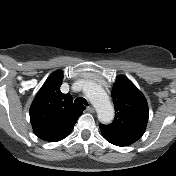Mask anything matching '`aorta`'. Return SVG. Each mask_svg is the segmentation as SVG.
<instances>
[{
    "instance_id": "762f6f07",
    "label": "aorta",
    "mask_w": 176,
    "mask_h": 176,
    "mask_svg": "<svg viewBox=\"0 0 176 176\" xmlns=\"http://www.w3.org/2000/svg\"><path fill=\"white\" fill-rule=\"evenodd\" d=\"M84 92L95 107L99 121L110 123L114 118V107L104 89L94 82L87 81L84 86Z\"/></svg>"
}]
</instances>
